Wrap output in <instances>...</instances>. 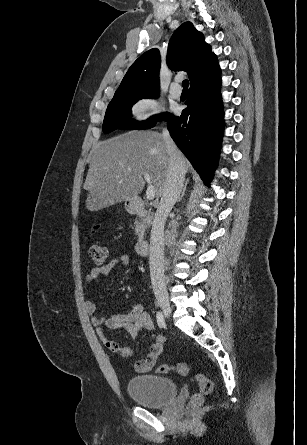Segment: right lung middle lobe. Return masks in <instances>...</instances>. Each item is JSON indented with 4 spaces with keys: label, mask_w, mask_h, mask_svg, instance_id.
<instances>
[{
    "label": "right lung middle lobe",
    "mask_w": 307,
    "mask_h": 445,
    "mask_svg": "<svg viewBox=\"0 0 307 445\" xmlns=\"http://www.w3.org/2000/svg\"><path fill=\"white\" fill-rule=\"evenodd\" d=\"M158 94L159 93L112 100L106 110L103 132L110 133L118 128L131 130L148 129L153 127L157 120L168 117L170 113L166 112L161 116L156 115L142 122L135 121L131 118V108L139 99L157 98Z\"/></svg>",
    "instance_id": "1"
}]
</instances>
